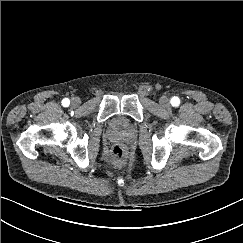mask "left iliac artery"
I'll return each instance as SVG.
<instances>
[{
    "instance_id": "44dca946",
    "label": "left iliac artery",
    "mask_w": 243,
    "mask_h": 243,
    "mask_svg": "<svg viewBox=\"0 0 243 243\" xmlns=\"http://www.w3.org/2000/svg\"><path fill=\"white\" fill-rule=\"evenodd\" d=\"M170 102L173 106H178L180 104V100L178 97H173Z\"/></svg>"
}]
</instances>
